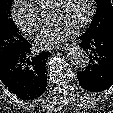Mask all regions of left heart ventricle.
<instances>
[{"label":"left heart ventricle","instance_id":"obj_1","mask_svg":"<svg viewBox=\"0 0 113 113\" xmlns=\"http://www.w3.org/2000/svg\"><path fill=\"white\" fill-rule=\"evenodd\" d=\"M86 12L87 0H61L55 8L46 12V20L50 23L61 21L75 28Z\"/></svg>","mask_w":113,"mask_h":113}]
</instances>
